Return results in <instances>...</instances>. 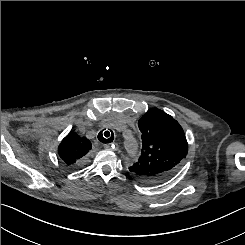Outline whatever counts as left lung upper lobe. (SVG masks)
Listing matches in <instances>:
<instances>
[{
	"label": "left lung upper lobe",
	"instance_id": "1",
	"mask_svg": "<svg viewBox=\"0 0 245 245\" xmlns=\"http://www.w3.org/2000/svg\"><path fill=\"white\" fill-rule=\"evenodd\" d=\"M142 133L139 160L130 173L145 184H159L172 177L188 153V143L180 124L159 109H149L138 121Z\"/></svg>",
	"mask_w": 245,
	"mask_h": 245
}]
</instances>
